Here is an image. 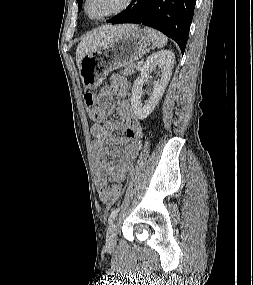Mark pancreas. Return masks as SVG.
I'll list each match as a JSON object with an SVG mask.
<instances>
[{"label": "pancreas", "instance_id": "1", "mask_svg": "<svg viewBox=\"0 0 253 285\" xmlns=\"http://www.w3.org/2000/svg\"><path fill=\"white\" fill-rule=\"evenodd\" d=\"M124 75H132L135 73V65L130 64L129 66H126L124 70L122 71Z\"/></svg>", "mask_w": 253, "mask_h": 285}]
</instances>
